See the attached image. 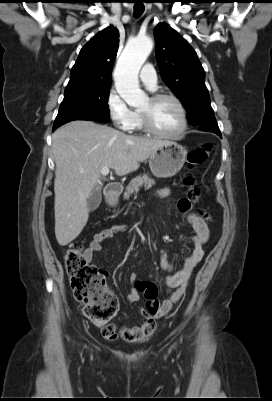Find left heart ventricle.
<instances>
[{
  "mask_svg": "<svg viewBox=\"0 0 272 401\" xmlns=\"http://www.w3.org/2000/svg\"><path fill=\"white\" fill-rule=\"evenodd\" d=\"M140 110L149 112L154 127L161 132L175 133L181 127V113L171 99H162L154 103L147 99Z\"/></svg>",
  "mask_w": 272,
  "mask_h": 401,
  "instance_id": "obj_1",
  "label": "left heart ventricle"
}]
</instances>
